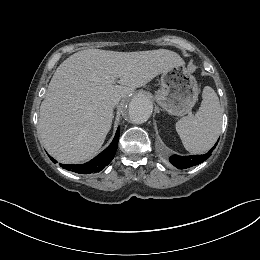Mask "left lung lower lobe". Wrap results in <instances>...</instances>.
<instances>
[{
    "instance_id": "obj_1",
    "label": "left lung lower lobe",
    "mask_w": 260,
    "mask_h": 260,
    "mask_svg": "<svg viewBox=\"0 0 260 260\" xmlns=\"http://www.w3.org/2000/svg\"><path fill=\"white\" fill-rule=\"evenodd\" d=\"M217 144V143H216ZM215 144V146H216ZM215 146L204 155H191V156H178L173 155L170 157V162L178 169H186L195 165H198L208 159L211 156V152Z\"/></svg>"
}]
</instances>
